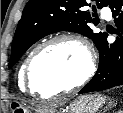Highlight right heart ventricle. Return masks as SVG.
Wrapping results in <instances>:
<instances>
[{"label":"right heart ventricle","mask_w":123,"mask_h":113,"mask_svg":"<svg viewBox=\"0 0 123 113\" xmlns=\"http://www.w3.org/2000/svg\"><path fill=\"white\" fill-rule=\"evenodd\" d=\"M27 58L24 60L23 64L21 65V67L18 71L17 80H18V85L20 88L25 87V84H24V66H25Z\"/></svg>","instance_id":"obj_1"}]
</instances>
